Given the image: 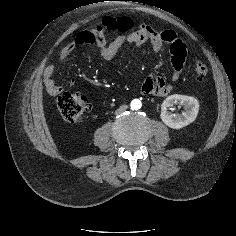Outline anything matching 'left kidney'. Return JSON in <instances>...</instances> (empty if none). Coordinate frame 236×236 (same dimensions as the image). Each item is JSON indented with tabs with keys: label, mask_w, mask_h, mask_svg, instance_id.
<instances>
[{
	"label": "left kidney",
	"mask_w": 236,
	"mask_h": 236,
	"mask_svg": "<svg viewBox=\"0 0 236 236\" xmlns=\"http://www.w3.org/2000/svg\"><path fill=\"white\" fill-rule=\"evenodd\" d=\"M177 104L184 106L185 111L182 114H171L167 111L168 107ZM161 109V119L164 124L172 129H181L196 119L199 112V102L194 97L175 94L164 100Z\"/></svg>",
	"instance_id": "left-kidney-1"
}]
</instances>
